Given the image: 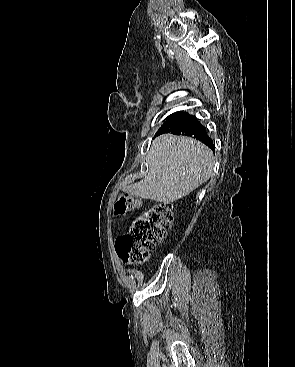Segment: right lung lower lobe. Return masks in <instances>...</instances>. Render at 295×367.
<instances>
[{"label":"right lung lower lobe","instance_id":"obj_1","mask_svg":"<svg viewBox=\"0 0 295 367\" xmlns=\"http://www.w3.org/2000/svg\"><path fill=\"white\" fill-rule=\"evenodd\" d=\"M163 133H172L175 135H186L200 140L212 151H215L213 141L207 135L206 129L201 125L195 116L183 112H177L171 115L156 135Z\"/></svg>","mask_w":295,"mask_h":367}]
</instances>
